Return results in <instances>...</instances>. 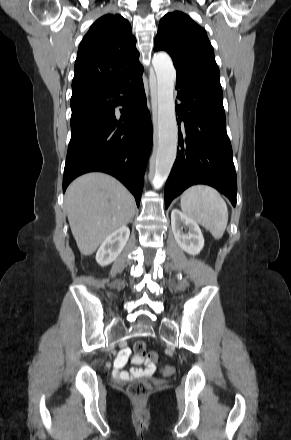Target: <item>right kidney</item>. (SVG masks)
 <instances>
[{
    "label": "right kidney",
    "mask_w": 291,
    "mask_h": 440,
    "mask_svg": "<svg viewBox=\"0 0 291 440\" xmlns=\"http://www.w3.org/2000/svg\"><path fill=\"white\" fill-rule=\"evenodd\" d=\"M130 235L127 226H123L110 234L101 244L97 253L96 261L101 266L112 263L125 247Z\"/></svg>",
    "instance_id": "ca27d5eb"
}]
</instances>
